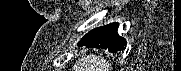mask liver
Segmentation results:
<instances>
[{
  "instance_id": "6515ba94",
  "label": "liver",
  "mask_w": 181,
  "mask_h": 71,
  "mask_svg": "<svg viewBox=\"0 0 181 71\" xmlns=\"http://www.w3.org/2000/svg\"><path fill=\"white\" fill-rule=\"evenodd\" d=\"M109 62L96 55L83 56L74 64L72 71H108Z\"/></svg>"
}]
</instances>
